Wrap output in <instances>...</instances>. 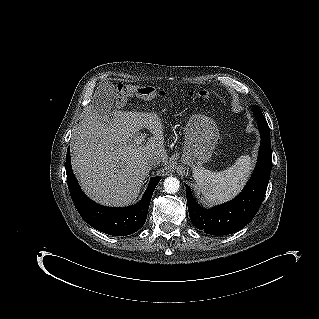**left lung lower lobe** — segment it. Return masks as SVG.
<instances>
[{
	"instance_id": "0a47b994",
	"label": "left lung lower lobe",
	"mask_w": 319,
	"mask_h": 319,
	"mask_svg": "<svg viewBox=\"0 0 319 319\" xmlns=\"http://www.w3.org/2000/svg\"><path fill=\"white\" fill-rule=\"evenodd\" d=\"M261 144L256 168L243 192L234 200L213 207L201 208L186 186L189 216L199 230L211 235H227L241 230L255 216L264 199L271 168L272 152L270 130L266 120L257 119Z\"/></svg>"
}]
</instances>
